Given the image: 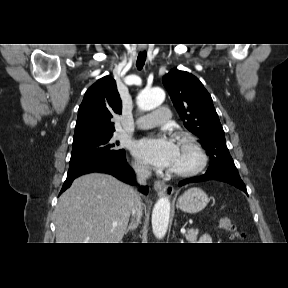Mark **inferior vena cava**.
I'll list each match as a JSON object with an SVG mask.
<instances>
[{
    "instance_id": "inferior-vena-cava-1",
    "label": "inferior vena cava",
    "mask_w": 288,
    "mask_h": 288,
    "mask_svg": "<svg viewBox=\"0 0 288 288\" xmlns=\"http://www.w3.org/2000/svg\"><path fill=\"white\" fill-rule=\"evenodd\" d=\"M133 168L136 172L138 183L141 185H145L147 179L151 176L150 167L147 165L137 164V165H134ZM142 211H143V204H142L140 196L137 195L133 208H132V214L136 215L137 220L139 221L142 216Z\"/></svg>"
}]
</instances>
